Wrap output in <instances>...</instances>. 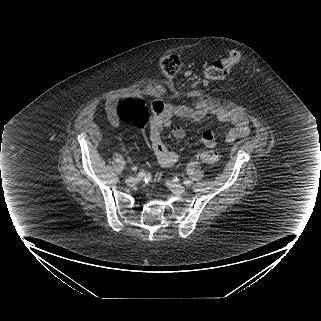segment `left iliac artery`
Returning a JSON list of instances; mask_svg holds the SVG:
<instances>
[{"label": "left iliac artery", "mask_w": 321, "mask_h": 321, "mask_svg": "<svg viewBox=\"0 0 321 321\" xmlns=\"http://www.w3.org/2000/svg\"><path fill=\"white\" fill-rule=\"evenodd\" d=\"M184 184H185L186 186H190V185H191V181H190V180H184Z\"/></svg>", "instance_id": "44dca946"}]
</instances>
